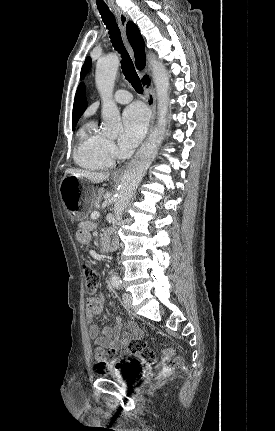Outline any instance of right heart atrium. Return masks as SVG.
I'll return each mask as SVG.
<instances>
[{
  "label": "right heart atrium",
  "instance_id": "right-heart-atrium-1",
  "mask_svg": "<svg viewBox=\"0 0 275 431\" xmlns=\"http://www.w3.org/2000/svg\"><path fill=\"white\" fill-rule=\"evenodd\" d=\"M106 150L107 152L113 157L116 158L119 155V149L117 148L116 144L111 141L107 140L106 142Z\"/></svg>",
  "mask_w": 275,
  "mask_h": 431
}]
</instances>
